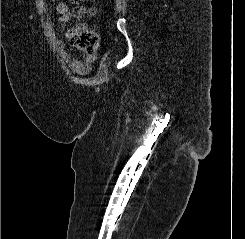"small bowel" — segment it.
<instances>
[{
    "label": "small bowel",
    "mask_w": 245,
    "mask_h": 239,
    "mask_svg": "<svg viewBox=\"0 0 245 239\" xmlns=\"http://www.w3.org/2000/svg\"><path fill=\"white\" fill-rule=\"evenodd\" d=\"M56 11L59 14L58 23L64 28L71 19L68 6L65 3H59L56 7ZM58 46L60 48L62 58L68 64L70 69L77 74H88L91 71V65L97 60L96 53L85 55L82 58L72 57V55L65 50V45L62 40L58 41Z\"/></svg>",
    "instance_id": "obj_1"
}]
</instances>
